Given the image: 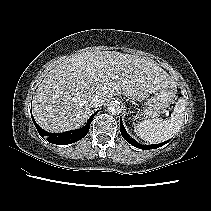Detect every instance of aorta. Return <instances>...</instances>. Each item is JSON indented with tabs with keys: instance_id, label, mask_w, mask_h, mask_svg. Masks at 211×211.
Listing matches in <instances>:
<instances>
[{
	"instance_id": "aorta-1",
	"label": "aorta",
	"mask_w": 211,
	"mask_h": 211,
	"mask_svg": "<svg viewBox=\"0 0 211 211\" xmlns=\"http://www.w3.org/2000/svg\"><path fill=\"white\" fill-rule=\"evenodd\" d=\"M107 109H108V112L113 115L119 114L121 111L120 104L117 101H111L107 105Z\"/></svg>"
}]
</instances>
